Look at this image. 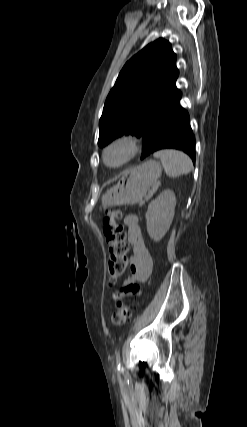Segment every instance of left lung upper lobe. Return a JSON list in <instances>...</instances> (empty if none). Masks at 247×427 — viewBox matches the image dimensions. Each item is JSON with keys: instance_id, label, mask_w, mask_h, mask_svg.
Masks as SVG:
<instances>
[{"instance_id": "1", "label": "left lung upper lobe", "mask_w": 247, "mask_h": 427, "mask_svg": "<svg viewBox=\"0 0 247 427\" xmlns=\"http://www.w3.org/2000/svg\"><path fill=\"white\" fill-rule=\"evenodd\" d=\"M176 54L160 38L122 68L106 98L99 121L100 147L122 135L143 136L152 120L181 96Z\"/></svg>"}]
</instances>
